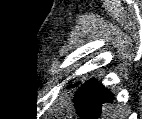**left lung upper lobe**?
Instances as JSON below:
<instances>
[{"mask_svg":"<svg viewBox=\"0 0 142 119\" xmlns=\"http://www.w3.org/2000/svg\"><path fill=\"white\" fill-rule=\"evenodd\" d=\"M78 84H79V83H76V84H74V85H72V84H71V85L69 86V88L77 87V86H78Z\"/></svg>","mask_w":142,"mask_h":119,"instance_id":"left-lung-upper-lobe-1","label":"left lung upper lobe"}]
</instances>
